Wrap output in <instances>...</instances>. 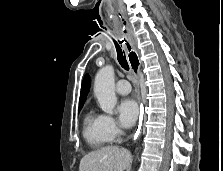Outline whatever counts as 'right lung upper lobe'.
Segmentation results:
<instances>
[{
    "mask_svg": "<svg viewBox=\"0 0 223 171\" xmlns=\"http://www.w3.org/2000/svg\"><path fill=\"white\" fill-rule=\"evenodd\" d=\"M91 85V78L88 74L85 75L83 82H82V87H81V93H80V99H79V106H83L87 94L89 92Z\"/></svg>",
    "mask_w": 223,
    "mask_h": 171,
    "instance_id": "cb5924a9",
    "label": "right lung upper lobe"
}]
</instances>
